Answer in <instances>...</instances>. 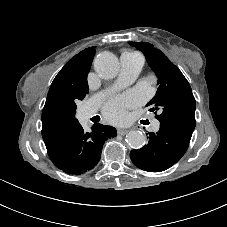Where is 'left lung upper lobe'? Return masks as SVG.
Instances as JSON below:
<instances>
[{
	"instance_id": "5c2ea615",
	"label": "left lung upper lobe",
	"mask_w": 227,
	"mask_h": 227,
	"mask_svg": "<svg viewBox=\"0 0 227 227\" xmlns=\"http://www.w3.org/2000/svg\"><path fill=\"white\" fill-rule=\"evenodd\" d=\"M130 44L144 53L158 78L156 95L146 106L151 107V112H159L156 116L159 121L173 120L195 127L196 101L187 79L178 67L148 42Z\"/></svg>"
}]
</instances>
